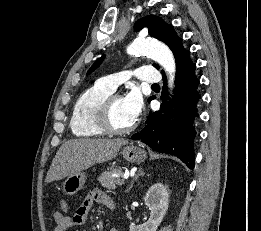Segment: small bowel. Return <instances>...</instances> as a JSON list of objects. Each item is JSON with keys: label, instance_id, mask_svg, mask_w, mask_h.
<instances>
[{"label": "small bowel", "instance_id": "small-bowel-1", "mask_svg": "<svg viewBox=\"0 0 261 231\" xmlns=\"http://www.w3.org/2000/svg\"><path fill=\"white\" fill-rule=\"evenodd\" d=\"M96 203L106 207H113L114 205L113 200L108 195L100 190H93L77 207L73 216L66 215L62 207L55 208L52 212V219L55 223L53 231H68L85 225L91 208ZM110 231L118 230L111 229Z\"/></svg>", "mask_w": 261, "mask_h": 231}]
</instances>
